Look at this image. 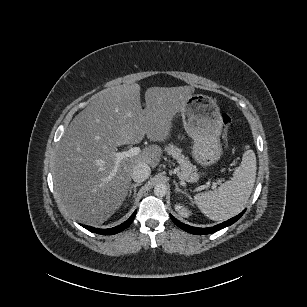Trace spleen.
I'll return each instance as SVG.
<instances>
[{
  "mask_svg": "<svg viewBox=\"0 0 307 307\" xmlns=\"http://www.w3.org/2000/svg\"><path fill=\"white\" fill-rule=\"evenodd\" d=\"M243 150L242 162L233 178L214 191L195 196L197 205L213 220L223 221L237 214L253 190L257 172L256 155L249 144H245Z\"/></svg>",
  "mask_w": 307,
  "mask_h": 307,
  "instance_id": "3e777b00",
  "label": "spleen"
}]
</instances>
